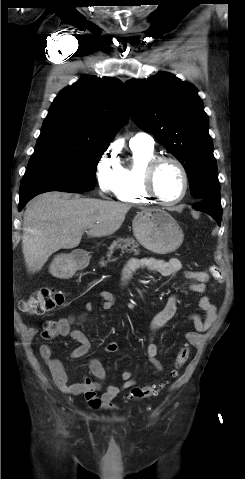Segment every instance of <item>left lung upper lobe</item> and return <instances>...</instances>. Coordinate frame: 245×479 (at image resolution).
I'll list each match as a JSON object with an SVG mask.
<instances>
[{
    "mask_svg": "<svg viewBox=\"0 0 245 479\" xmlns=\"http://www.w3.org/2000/svg\"><path fill=\"white\" fill-rule=\"evenodd\" d=\"M125 87L134 121L182 163L191 195L203 200L219 192L208 116L194 86L162 72Z\"/></svg>",
    "mask_w": 245,
    "mask_h": 479,
    "instance_id": "obj_1",
    "label": "left lung upper lobe"
}]
</instances>
